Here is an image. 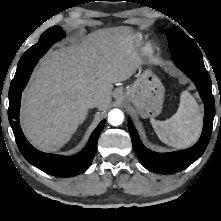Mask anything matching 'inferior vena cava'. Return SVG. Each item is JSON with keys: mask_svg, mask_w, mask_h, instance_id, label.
Wrapping results in <instances>:
<instances>
[{"mask_svg": "<svg viewBox=\"0 0 221 221\" xmlns=\"http://www.w3.org/2000/svg\"><path fill=\"white\" fill-rule=\"evenodd\" d=\"M99 104V98L97 96L91 97L88 101H87V106L89 108H94L97 107Z\"/></svg>", "mask_w": 221, "mask_h": 221, "instance_id": "inferior-vena-cava-1", "label": "inferior vena cava"}]
</instances>
